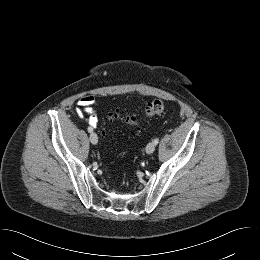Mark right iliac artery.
Instances as JSON below:
<instances>
[{
  "instance_id": "82829eb1",
  "label": "right iliac artery",
  "mask_w": 260,
  "mask_h": 260,
  "mask_svg": "<svg viewBox=\"0 0 260 260\" xmlns=\"http://www.w3.org/2000/svg\"><path fill=\"white\" fill-rule=\"evenodd\" d=\"M92 130H93V129H92L91 127H89V128H88V132H90V133H91V132H92Z\"/></svg>"
}]
</instances>
